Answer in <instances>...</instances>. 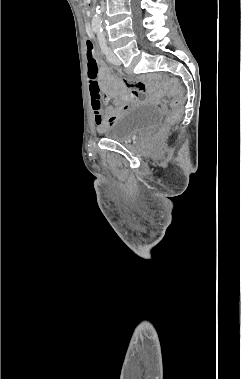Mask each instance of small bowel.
Wrapping results in <instances>:
<instances>
[{"mask_svg": "<svg viewBox=\"0 0 241 379\" xmlns=\"http://www.w3.org/2000/svg\"><path fill=\"white\" fill-rule=\"evenodd\" d=\"M99 89H90L91 108L94 122L99 130L108 125H116L119 115L135 103H155L157 95H148L141 99V91L145 89L142 82L128 80L125 83L110 75L107 68L101 66L98 74ZM102 86L105 89H100ZM132 90H129V89Z\"/></svg>", "mask_w": 241, "mask_h": 379, "instance_id": "1", "label": "small bowel"}]
</instances>
